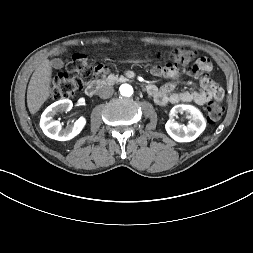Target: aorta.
Returning <instances> with one entry per match:
<instances>
[{
	"label": "aorta",
	"instance_id": "1",
	"mask_svg": "<svg viewBox=\"0 0 253 253\" xmlns=\"http://www.w3.org/2000/svg\"><path fill=\"white\" fill-rule=\"evenodd\" d=\"M119 90L122 96L130 97L133 94V88L129 84H122Z\"/></svg>",
	"mask_w": 253,
	"mask_h": 253
}]
</instances>
